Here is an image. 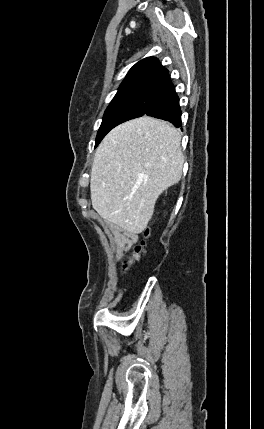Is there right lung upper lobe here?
<instances>
[{"instance_id": "1", "label": "right lung upper lobe", "mask_w": 264, "mask_h": 429, "mask_svg": "<svg viewBox=\"0 0 264 429\" xmlns=\"http://www.w3.org/2000/svg\"><path fill=\"white\" fill-rule=\"evenodd\" d=\"M168 82H170L168 71L157 58L148 57L130 69L118 91L138 87L163 88Z\"/></svg>"}]
</instances>
